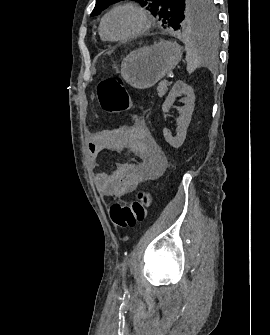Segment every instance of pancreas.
I'll return each instance as SVG.
<instances>
[{"label": "pancreas", "mask_w": 270, "mask_h": 335, "mask_svg": "<svg viewBox=\"0 0 270 335\" xmlns=\"http://www.w3.org/2000/svg\"><path fill=\"white\" fill-rule=\"evenodd\" d=\"M168 86H171V84H169L167 80H163V82H160V84H158L157 92L159 98H163L164 94H166L168 90Z\"/></svg>", "instance_id": "cf45deb5"}]
</instances>
